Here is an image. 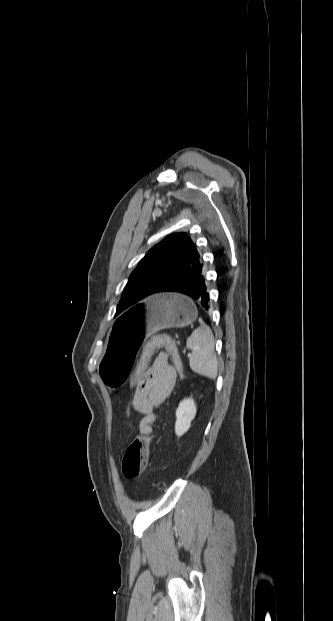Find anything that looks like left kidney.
Here are the masks:
<instances>
[{
	"label": "left kidney",
	"mask_w": 333,
	"mask_h": 621,
	"mask_svg": "<svg viewBox=\"0 0 333 621\" xmlns=\"http://www.w3.org/2000/svg\"><path fill=\"white\" fill-rule=\"evenodd\" d=\"M196 412L197 408L192 398L184 399L179 403L176 410L175 423V433L177 436H182L189 430L191 421L194 419Z\"/></svg>",
	"instance_id": "obj_1"
}]
</instances>
